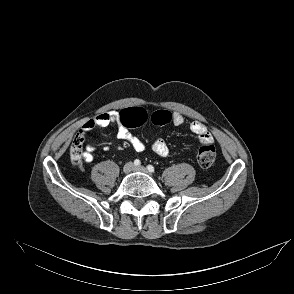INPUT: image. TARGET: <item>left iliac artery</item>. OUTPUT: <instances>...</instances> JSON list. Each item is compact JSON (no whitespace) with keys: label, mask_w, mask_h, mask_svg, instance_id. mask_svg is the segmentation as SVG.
Here are the masks:
<instances>
[{"label":"left iliac artery","mask_w":294,"mask_h":294,"mask_svg":"<svg viewBox=\"0 0 294 294\" xmlns=\"http://www.w3.org/2000/svg\"><path fill=\"white\" fill-rule=\"evenodd\" d=\"M147 169H148L149 172H154V170H155L152 165H148Z\"/></svg>","instance_id":"44dca946"}]
</instances>
